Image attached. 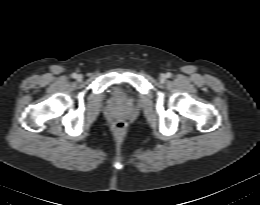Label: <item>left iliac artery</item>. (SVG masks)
I'll list each match as a JSON object with an SVG mask.
<instances>
[{"label": "left iliac artery", "instance_id": "left-iliac-artery-1", "mask_svg": "<svg viewBox=\"0 0 260 205\" xmlns=\"http://www.w3.org/2000/svg\"><path fill=\"white\" fill-rule=\"evenodd\" d=\"M171 76H172V74H171L170 72H168V73L166 74V77H167V78H171Z\"/></svg>", "mask_w": 260, "mask_h": 205}]
</instances>
